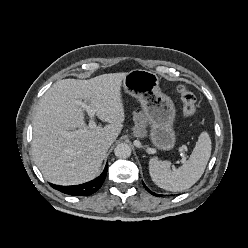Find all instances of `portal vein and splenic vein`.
I'll use <instances>...</instances> for the list:
<instances>
[{"mask_svg": "<svg viewBox=\"0 0 248 248\" xmlns=\"http://www.w3.org/2000/svg\"><path fill=\"white\" fill-rule=\"evenodd\" d=\"M78 104L87 111L89 117H90V121H89V127L90 128H94L96 126V123L94 122L93 118L94 115L96 113V110L92 107H90L89 105H87L85 102L82 101H78ZM82 131H75V132H68L66 133V135L68 136H75L76 134L80 133Z\"/></svg>", "mask_w": 248, "mask_h": 248, "instance_id": "1", "label": "portal vein and splenic vein"}]
</instances>
